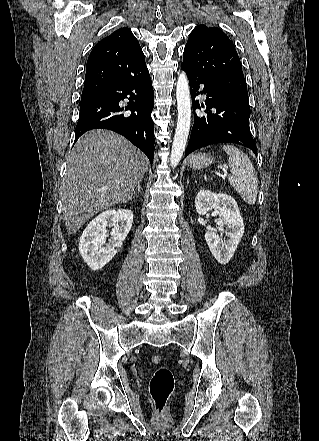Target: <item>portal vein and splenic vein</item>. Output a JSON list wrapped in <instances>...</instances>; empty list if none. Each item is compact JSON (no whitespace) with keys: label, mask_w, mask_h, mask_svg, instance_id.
I'll return each instance as SVG.
<instances>
[{"label":"portal vein and splenic vein","mask_w":319,"mask_h":441,"mask_svg":"<svg viewBox=\"0 0 319 441\" xmlns=\"http://www.w3.org/2000/svg\"><path fill=\"white\" fill-rule=\"evenodd\" d=\"M225 175L227 174V171L225 170V173H224Z\"/></svg>","instance_id":"18ae733b"}]
</instances>
